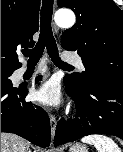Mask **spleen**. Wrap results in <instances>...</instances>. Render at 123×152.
Wrapping results in <instances>:
<instances>
[{"mask_svg": "<svg viewBox=\"0 0 123 152\" xmlns=\"http://www.w3.org/2000/svg\"><path fill=\"white\" fill-rule=\"evenodd\" d=\"M81 141L83 143L94 145L98 152H121V149L113 139L105 135H87L83 137Z\"/></svg>", "mask_w": 123, "mask_h": 152, "instance_id": "1", "label": "spleen"}]
</instances>
